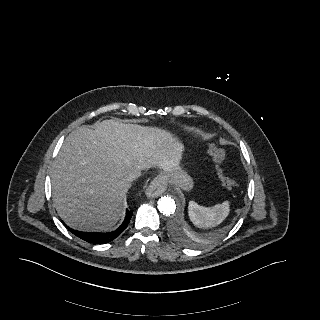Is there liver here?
<instances>
[{"label":"liver","mask_w":320,"mask_h":320,"mask_svg":"<svg viewBox=\"0 0 320 320\" xmlns=\"http://www.w3.org/2000/svg\"><path fill=\"white\" fill-rule=\"evenodd\" d=\"M183 151L171 133L153 127L104 120L81 126L64 141L54 162V206L79 231H106L122 214L129 171L159 166L166 172Z\"/></svg>","instance_id":"6515ba94"}]
</instances>
